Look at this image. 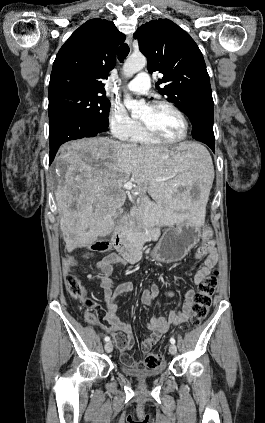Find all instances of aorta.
<instances>
[{
	"label": "aorta",
	"mask_w": 265,
	"mask_h": 423,
	"mask_svg": "<svg viewBox=\"0 0 265 423\" xmlns=\"http://www.w3.org/2000/svg\"><path fill=\"white\" fill-rule=\"evenodd\" d=\"M146 65V58L142 54L131 55L123 65V74L126 77H131L135 73L142 70ZM124 105L131 111L132 115L139 114L145 107L144 101H137L129 94L124 96Z\"/></svg>",
	"instance_id": "aorta-1"
}]
</instances>
